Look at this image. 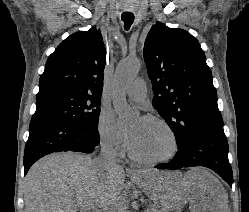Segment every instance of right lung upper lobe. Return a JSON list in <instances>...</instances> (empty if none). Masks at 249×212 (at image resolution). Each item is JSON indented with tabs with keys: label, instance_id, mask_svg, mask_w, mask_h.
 <instances>
[{
	"label": "right lung upper lobe",
	"instance_id": "right-lung-upper-lobe-1",
	"mask_svg": "<svg viewBox=\"0 0 249 212\" xmlns=\"http://www.w3.org/2000/svg\"><path fill=\"white\" fill-rule=\"evenodd\" d=\"M106 50L100 31H80L65 39L49 56L39 92H78L101 96Z\"/></svg>",
	"mask_w": 249,
	"mask_h": 212
}]
</instances>
